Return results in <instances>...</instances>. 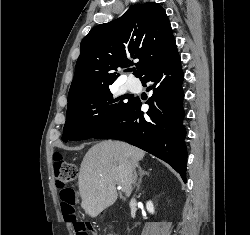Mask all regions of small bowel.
Masks as SVG:
<instances>
[{
  "label": "small bowel",
  "instance_id": "1",
  "mask_svg": "<svg viewBox=\"0 0 250 235\" xmlns=\"http://www.w3.org/2000/svg\"><path fill=\"white\" fill-rule=\"evenodd\" d=\"M89 229H91L93 231L94 235H96L95 231L92 228H89ZM109 235H115V234H109Z\"/></svg>",
  "mask_w": 250,
  "mask_h": 235
}]
</instances>
